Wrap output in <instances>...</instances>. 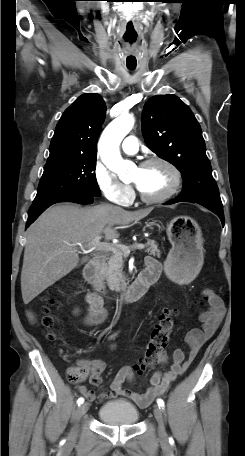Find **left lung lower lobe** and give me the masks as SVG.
<instances>
[{"label":"left lung lower lobe","instance_id":"obj_1","mask_svg":"<svg viewBox=\"0 0 245 456\" xmlns=\"http://www.w3.org/2000/svg\"><path fill=\"white\" fill-rule=\"evenodd\" d=\"M180 201H182V200L181 199L172 200L170 202H167L166 204L169 205V204H173V203L180 202ZM203 206L206 207L207 209L211 210L212 212H214L220 218L221 223L224 226V214H223L222 208L214 207L211 205H203Z\"/></svg>","mask_w":245,"mask_h":456}]
</instances>
